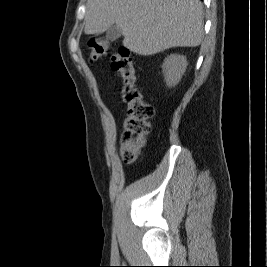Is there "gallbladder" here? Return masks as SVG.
I'll return each mask as SVG.
<instances>
[{
  "label": "gallbladder",
  "mask_w": 267,
  "mask_h": 267,
  "mask_svg": "<svg viewBox=\"0 0 267 267\" xmlns=\"http://www.w3.org/2000/svg\"><path fill=\"white\" fill-rule=\"evenodd\" d=\"M121 35H122L121 29L117 25H112L106 32V39L108 41L113 42L119 37H121Z\"/></svg>",
  "instance_id": "bac80fb5"
}]
</instances>
